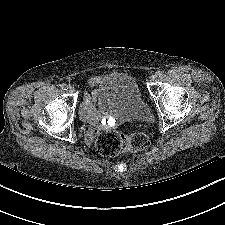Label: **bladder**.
Segmentation results:
<instances>
[{
  "label": "bladder",
  "instance_id": "obj_1",
  "mask_svg": "<svg viewBox=\"0 0 225 225\" xmlns=\"http://www.w3.org/2000/svg\"><path fill=\"white\" fill-rule=\"evenodd\" d=\"M95 97L104 114L126 120H144L151 115L135 79L128 73L104 75L97 84Z\"/></svg>",
  "mask_w": 225,
  "mask_h": 225
}]
</instances>
